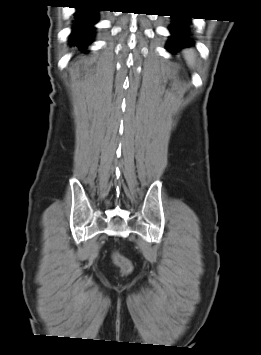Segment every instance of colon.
Masks as SVG:
<instances>
[{"label":"colon","mask_w":261,"mask_h":355,"mask_svg":"<svg viewBox=\"0 0 261 355\" xmlns=\"http://www.w3.org/2000/svg\"><path fill=\"white\" fill-rule=\"evenodd\" d=\"M112 259L114 263L119 266L123 273L127 274L132 270L131 262L118 252L112 254Z\"/></svg>","instance_id":"5ec220e1"}]
</instances>
